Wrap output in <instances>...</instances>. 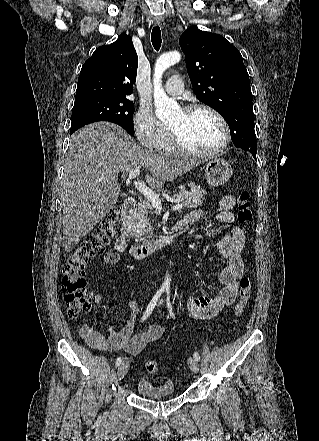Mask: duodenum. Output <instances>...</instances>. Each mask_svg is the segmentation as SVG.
Segmentation results:
<instances>
[{"label":"duodenum","instance_id":"obj_1","mask_svg":"<svg viewBox=\"0 0 319 441\" xmlns=\"http://www.w3.org/2000/svg\"><path fill=\"white\" fill-rule=\"evenodd\" d=\"M136 205H137V199L133 196L128 197L122 205L121 213H120L122 229H121V234L115 243V247L119 250H122L124 248L125 237L128 232L127 222L132 211L135 209ZM180 228H181V224L179 223L173 226L171 229L164 232L163 234L151 237L135 245L131 249L132 256L135 259L140 260L152 254L153 252L162 249L163 247H165L166 245H168L169 243H171L176 239Z\"/></svg>","mask_w":319,"mask_h":441}]
</instances>
